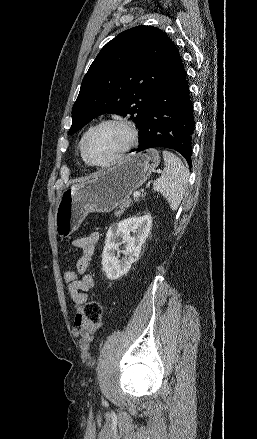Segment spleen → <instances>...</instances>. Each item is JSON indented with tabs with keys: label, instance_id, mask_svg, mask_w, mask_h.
<instances>
[{
	"label": "spleen",
	"instance_id": "spleen-1",
	"mask_svg": "<svg viewBox=\"0 0 257 439\" xmlns=\"http://www.w3.org/2000/svg\"><path fill=\"white\" fill-rule=\"evenodd\" d=\"M165 167L163 174L153 183L155 191L160 192L167 200L170 208L178 209L188 185L189 173L187 168L173 153L164 150Z\"/></svg>",
	"mask_w": 257,
	"mask_h": 439
}]
</instances>
